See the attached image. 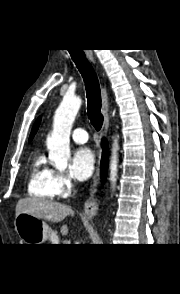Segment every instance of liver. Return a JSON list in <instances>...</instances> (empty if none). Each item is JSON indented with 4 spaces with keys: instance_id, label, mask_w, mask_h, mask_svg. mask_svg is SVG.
<instances>
[{
    "instance_id": "6515ba94",
    "label": "liver",
    "mask_w": 180,
    "mask_h": 294,
    "mask_svg": "<svg viewBox=\"0 0 180 294\" xmlns=\"http://www.w3.org/2000/svg\"><path fill=\"white\" fill-rule=\"evenodd\" d=\"M20 213H27L52 222H60L66 216L73 214V211L70 206L62 203L39 198H25L20 199L16 205L15 215ZM61 232L63 234L68 232L67 225L62 226Z\"/></svg>"
}]
</instances>
